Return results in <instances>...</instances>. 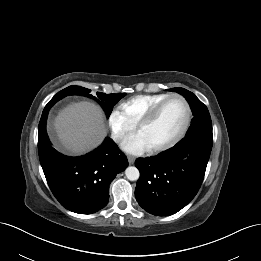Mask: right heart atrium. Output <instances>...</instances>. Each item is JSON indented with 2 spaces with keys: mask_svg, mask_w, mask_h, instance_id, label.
Here are the masks:
<instances>
[{
  "mask_svg": "<svg viewBox=\"0 0 261 261\" xmlns=\"http://www.w3.org/2000/svg\"><path fill=\"white\" fill-rule=\"evenodd\" d=\"M108 125L113 139L117 142L122 141L131 134L135 125H133L122 110L113 108L108 115Z\"/></svg>",
  "mask_w": 261,
  "mask_h": 261,
  "instance_id": "obj_1",
  "label": "right heart atrium"
}]
</instances>
